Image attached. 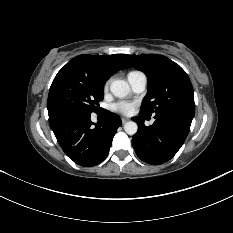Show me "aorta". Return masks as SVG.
Masks as SVG:
<instances>
[{"instance_id": "obj_1", "label": "aorta", "mask_w": 233, "mask_h": 233, "mask_svg": "<svg viewBox=\"0 0 233 233\" xmlns=\"http://www.w3.org/2000/svg\"><path fill=\"white\" fill-rule=\"evenodd\" d=\"M110 91L118 98H124L130 93V86L124 80H114L110 85ZM124 130L128 135H134L138 126L134 121H129L124 124Z\"/></svg>"}]
</instances>
